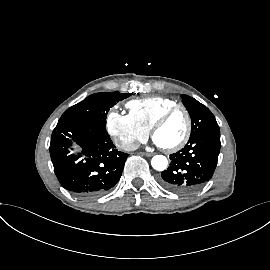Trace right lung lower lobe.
<instances>
[{
  "label": "right lung lower lobe",
  "instance_id": "obj_1",
  "mask_svg": "<svg viewBox=\"0 0 270 270\" xmlns=\"http://www.w3.org/2000/svg\"><path fill=\"white\" fill-rule=\"evenodd\" d=\"M72 141L80 146V154H70ZM50 155L60 184L83 198L112 188L128 157L116 149L104 127L88 121L58 123L52 133Z\"/></svg>",
  "mask_w": 270,
  "mask_h": 270
}]
</instances>
